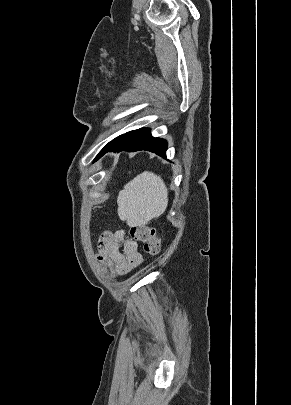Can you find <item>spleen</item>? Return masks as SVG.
<instances>
[{"label": "spleen", "mask_w": 291, "mask_h": 405, "mask_svg": "<svg viewBox=\"0 0 291 405\" xmlns=\"http://www.w3.org/2000/svg\"><path fill=\"white\" fill-rule=\"evenodd\" d=\"M117 203L121 219L146 224L165 212L168 190L160 176L144 171L124 186Z\"/></svg>", "instance_id": "spleen-1"}]
</instances>
